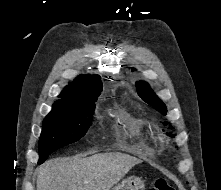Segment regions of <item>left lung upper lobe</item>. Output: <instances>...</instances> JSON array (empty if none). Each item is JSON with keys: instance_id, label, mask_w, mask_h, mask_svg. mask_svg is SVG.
<instances>
[{"instance_id": "5c2ea615", "label": "left lung upper lobe", "mask_w": 221, "mask_h": 190, "mask_svg": "<svg viewBox=\"0 0 221 190\" xmlns=\"http://www.w3.org/2000/svg\"><path fill=\"white\" fill-rule=\"evenodd\" d=\"M137 93L142 98L143 101L153 106L163 115H166L167 108L164 103L156 96L152 91L150 86L146 82H137L136 83Z\"/></svg>"}]
</instances>
